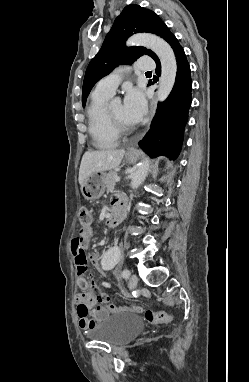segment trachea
Here are the masks:
<instances>
[{
    "label": "trachea",
    "mask_w": 249,
    "mask_h": 382,
    "mask_svg": "<svg viewBox=\"0 0 249 382\" xmlns=\"http://www.w3.org/2000/svg\"><path fill=\"white\" fill-rule=\"evenodd\" d=\"M147 74H151V72H146Z\"/></svg>",
    "instance_id": "trachea-1"
}]
</instances>
